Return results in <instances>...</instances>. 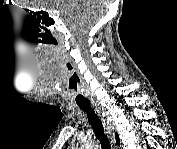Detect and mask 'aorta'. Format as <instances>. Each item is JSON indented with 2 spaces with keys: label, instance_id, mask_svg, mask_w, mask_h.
I'll use <instances>...</instances> for the list:
<instances>
[{
  "label": "aorta",
  "instance_id": "762f6f07",
  "mask_svg": "<svg viewBox=\"0 0 177 149\" xmlns=\"http://www.w3.org/2000/svg\"><path fill=\"white\" fill-rule=\"evenodd\" d=\"M86 149H97V147H96V146L87 145V146H86Z\"/></svg>",
  "mask_w": 177,
  "mask_h": 149
}]
</instances>
